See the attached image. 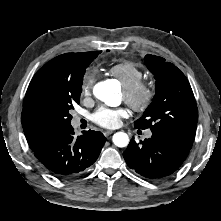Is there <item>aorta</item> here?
I'll list each match as a JSON object with an SVG mask.
<instances>
[{
    "label": "aorta",
    "instance_id": "aorta-1",
    "mask_svg": "<svg viewBox=\"0 0 221 221\" xmlns=\"http://www.w3.org/2000/svg\"><path fill=\"white\" fill-rule=\"evenodd\" d=\"M94 95L109 106H115L119 102L118 91L109 81H103L95 85ZM113 143L118 147H125L129 143V137L124 132H117L113 135Z\"/></svg>",
    "mask_w": 221,
    "mask_h": 221
}]
</instances>
